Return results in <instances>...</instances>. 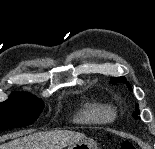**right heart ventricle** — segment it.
<instances>
[{"label": "right heart ventricle", "mask_w": 155, "mask_h": 149, "mask_svg": "<svg viewBox=\"0 0 155 149\" xmlns=\"http://www.w3.org/2000/svg\"><path fill=\"white\" fill-rule=\"evenodd\" d=\"M114 116V111L109 105L87 100L77 113L76 120L85 124H107L113 121Z\"/></svg>", "instance_id": "1"}]
</instances>
